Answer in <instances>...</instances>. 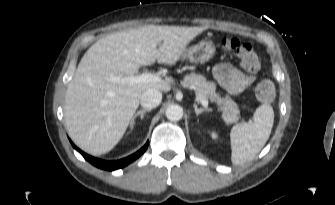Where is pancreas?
<instances>
[{"mask_svg":"<svg viewBox=\"0 0 335 205\" xmlns=\"http://www.w3.org/2000/svg\"><path fill=\"white\" fill-rule=\"evenodd\" d=\"M181 85L184 88L193 89L196 93L203 95L207 100L215 102L219 105V110L222 111V118L226 124L238 122L239 108L238 105L229 97L222 98L216 93V84L206 80L202 75L194 72L185 75Z\"/></svg>","mask_w":335,"mask_h":205,"instance_id":"pancreas-1","label":"pancreas"}]
</instances>
